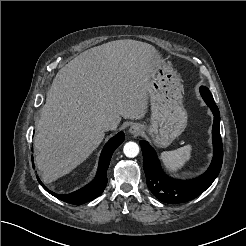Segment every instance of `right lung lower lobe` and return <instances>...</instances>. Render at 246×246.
Segmentation results:
<instances>
[{"label":"right lung lower lobe","mask_w":246,"mask_h":246,"mask_svg":"<svg viewBox=\"0 0 246 246\" xmlns=\"http://www.w3.org/2000/svg\"><path fill=\"white\" fill-rule=\"evenodd\" d=\"M125 136L123 132L118 133L115 137L110 139L108 143L105 145V147L102 150L99 166H98V172L95 177V179L86 185L85 187L81 188L78 191H75L70 194H56L49 189H47L44 184L40 181V179L37 176V179L39 183L42 185V187L49 192L51 195L55 196L59 200H62L64 202L74 204V205H81L83 203H86L88 201H91L101 195V193L104 191L106 184H107V168L110 163L111 156L115 149L124 141ZM34 168V165H33Z\"/></svg>","instance_id":"98d812e1"}]
</instances>
